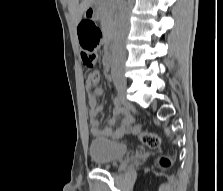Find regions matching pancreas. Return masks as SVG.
Instances as JSON below:
<instances>
[{"label":"pancreas","instance_id":"obj_1","mask_svg":"<svg viewBox=\"0 0 223 191\" xmlns=\"http://www.w3.org/2000/svg\"><path fill=\"white\" fill-rule=\"evenodd\" d=\"M101 25L104 32H109L114 24V8L110 0H102L98 4Z\"/></svg>","mask_w":223,"mask_h":191}]
</instances>
